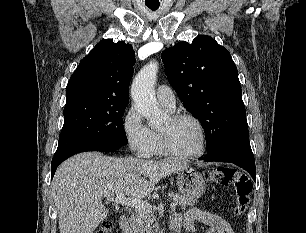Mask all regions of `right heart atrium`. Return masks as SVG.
I'll return each instance as SVG.
<instances>
[{
	"instance_id": "right-heart-atrium-1",
	"label": "right heart atrium",
	"mask_w": 306,
	"mask_h": 233,
	"mask_svg": "<svg viewBox=\"0 0 306 233\" xmlns=\"http://www.w3.org/2000/svg\"><path fill=\"white\" fill-rule=\"evenodd\" d=\"M123 134L132 152L140 157H150L155 151V134L145 123L135 107H131L123 119Z\"/></svg>"
}]
</instances>
